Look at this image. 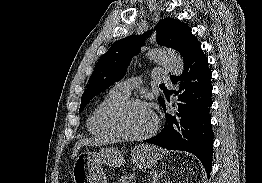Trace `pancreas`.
Listing matches in <instances>:
<instances>
[{
    "label": "pancreas",
    "instance_id": "cf45deb5",
    "mask_svg": "<svg viewBox=\"0 0 262 183\" xmlns=\"http://www.w3.org/2000/svg\"><path fill=\"white\" fill-rule=\"evenodd\" d=\"M132 179H133L132 175H124L121 176V178L118 180L117 183H134Z\"/></svg>",
    "mask_w": 262,
    "mask_h": 183
}]
</instances>
